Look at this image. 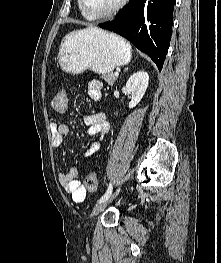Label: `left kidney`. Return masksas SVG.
<instances>
[{
	"instance_id": "left-kidney-1",
	"label": "left kidney",
	"mask_w": 221,
	"mask_h": 263,
	"mask_svg": "<svg viewBox=\"0 0 221 263\" xmlns=\"http://www.w3.org/2000/svg\"><path fill=\"white\" fill-rule=\"evenodd\" d=\"M149 83V75L145 71L134 73L126 83V89L131 94L129 108H134L143 98Z\"/></svg>"
}]
</instances>
